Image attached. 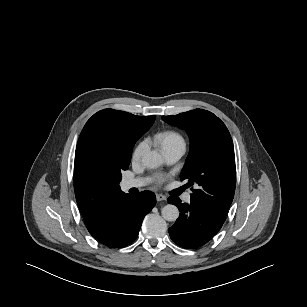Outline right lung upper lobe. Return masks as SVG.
<instances>
[{
	"label": "right lung upper lobe",
	"instance_id": "obj_1",
	"mask_svg": "<svg viewBox=\"0 0 307 307\" xmlns=\"http://www.w3.org/2000/svg\"><path fill=\"white\" fill-rule=\"evenodd\" d=\"M154 120V115L142 117L104 109L95 113L81 131L75 152L74 188L77 204L92 236L103 230L120 200L128 195L121 191L120 181L99 165L98 137L103 131L118 127H130L143 135Z\"/></svg>",
	"mask_w": 307,
	"mask_h": 307
}]
</instances>
